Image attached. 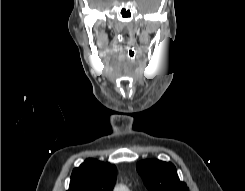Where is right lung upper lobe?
Wrapping results in <instances>:
<instances>
[{
	"instance_id": "obj_1",
	"label": "right lung upper lobe",
	"mask_w": 245,
	"mask_h": 191,
	"mask_svg": "<svg viewBox=\"0 0 245 191\" xmlns=\"http://www.w3.org/2000/svg\"><path fill=\"white\" fill-rule=\"evenodd\" d=\"M115 182L114 165L87 159L73 170L68 191H112Z\"/></svg>"
}]
</instances>
